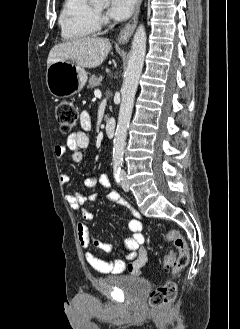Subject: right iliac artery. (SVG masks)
Listing matches in <instances>:
<instances>
[{
  "instance_id": "82829eb1",
  "label": "right iliac artery",
  "mask_w": 240,
  "mask_h": 329,
  "mask_svg": "<svg viewBox=\"0 0 240 329\" xmlns=\"http://www.w3.org/2000/svg\"><path fill=\"white\" fill-rule=\"evenodd\" d=\"M120 170L121 168L119 166H114L113 174L117 184H120Z\"/></svg>"
}]
</instances>
